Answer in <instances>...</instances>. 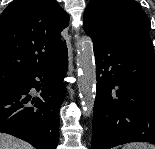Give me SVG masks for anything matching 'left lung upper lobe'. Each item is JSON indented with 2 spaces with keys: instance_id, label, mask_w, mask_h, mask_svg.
Segmentation results:
<instances>
[{
  "instance_id": "5c2ea615",
  "label": "left lung upper lobe",
  "mask_w": 155,
  "mask_h": 149,
  "mask_svg": "<svg viewBox=\"0 0 155 149\" xmlns=\"http://www.w3.org/2000/svg\"><path fill=\"white\" fill-rule=\"evenodd\" d=\"M83 28L92 40L149 35L150 20L135 0H90Z\"/></svg>"
}]
</instances>
